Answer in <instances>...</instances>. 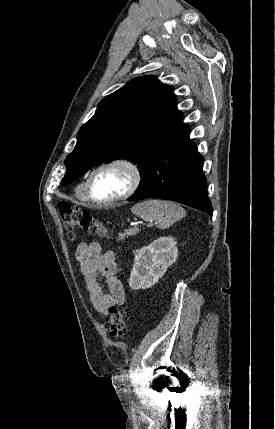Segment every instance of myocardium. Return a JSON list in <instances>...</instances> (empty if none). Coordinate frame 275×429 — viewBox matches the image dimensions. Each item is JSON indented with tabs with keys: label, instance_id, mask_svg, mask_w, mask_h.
<instances>
[{
	"label": "myocardium",
	"instance_id": "f54148a6",
	"mask_svg": "<svg viewBox=\"0 0 275 429\" xmlns=\"http://www.w3.org/2000/svg\"><path fill=\"white\" fill-rule=\"evenodd\" d=\"M113 167H119L126 171L128 174V185L126 189L119 195L106 199V200H98L95 199L91 194V183L94 178V176L101 170L113 168ZM141 182V173L137 165L132 162L129 159L126 158H113L107 161L102 162L101 164L97 165L88 175L85 183V196L86 199L90 202L97 204V205H111L116 202L122 201L124 199L129 198L132 196L137 188L139 187Z\"/></svg>",
	"mask_w": 275,
	"mask_h": 429
}]
</instances>
